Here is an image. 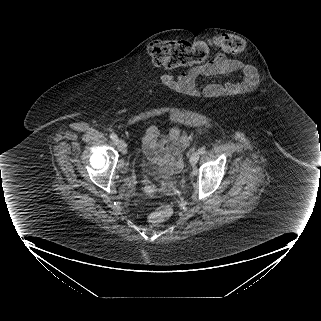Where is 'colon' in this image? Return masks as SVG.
I'll use <instances>...</instances> for the list:
<instances>
[{
    "label": "colon",
    "instance_id": "colon-1",
    "mask_svg": "<svg viewBox=\"0 0 321 321\" xmlns=\"http://www.w3.org/2000/svg\"><path fill=\"white\" fill-rule=\"evenodd\" d=\"M215 49L226 53H239L244 49V41L230 34L194 43L184 40H157L149 45L148 53L156 66L174 69L205 62ZM147 189L149 190V187ZM171 214V208L163 206L160 211L152 213L148 220L152 225H159Z\"/></svg>",
    "mask_w": 321,
    "mask_h": 321
}]
</instances>
